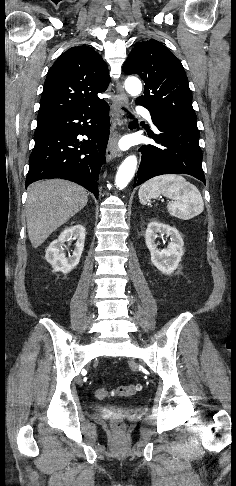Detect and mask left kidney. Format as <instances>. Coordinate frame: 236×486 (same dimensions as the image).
<instances>
[{
	"label": "left kidney",
	"mask_w": 236,
	"mask_h": 486,
	"mask_svg": "<svg viewBox=\"0 0 236 486\" xmlns=\"http://www.w3.org/2000/svg\"><path fill=\"white\" fill-rule=\"evenodd\" d=\"M158 234L170 237L167 248L159 249L157 247L156 238ZM145 243L151 254V262L159 271L170 275L177 269L184 254V242L176 228L156 220L152 221L146 229Z\"/></svg>",
	"instance_id": "1"
}]
</instances>
